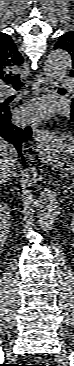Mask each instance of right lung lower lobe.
<instances>
[{
  "label": "right lung lower lobe",
  "mask_w": 74,
  "mask_h": 366,
  "mask_svg": "<svg viewBox=\"0 0 74 366\" xmlns=\"http://www.w3.org/2000/svg\"><path fill=\"white\" fill-rule=\"evenodd\" d=\"M32 135V130L29 126L20 128L11 122V112L7 103L0 102V138H4L6 141L11 142L17 149L22 160V145L29 140ZM25 162V161H24ZM25 168L26 165H23Z\"/></svg>",
  "instance_id": "98d812e1"
}]
</instances>
